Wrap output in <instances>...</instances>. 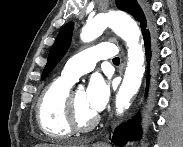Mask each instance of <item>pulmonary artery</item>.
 <instances>
[{
	"instance_id": "pulmonary-artery-1",
	"label": "pulmonary artery",
	"mask_w": 183,
	"mask_h": 147,
	"mask_svg": "<svg viewBox=\"0 0 183 147\" xmlns=\"http://www.w3.org/2000/svg\"><path fill=\"white\" fill-rule=\"evenodd\" d=\"M117 47L109 42H103L87 48L74 55L64 66L61 76L71 82H75L84 74L92 71L98 60L116 57Z\"/></svg>"
}]
</instances>
